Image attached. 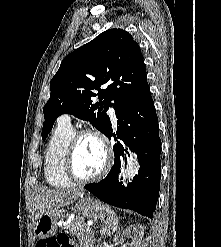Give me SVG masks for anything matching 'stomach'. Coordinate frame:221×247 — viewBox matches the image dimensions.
<instances>
[{"label": "stomach", "instance_id": "obj_1", "mask_svg": "<svg viewBox=\"0 0 221 247\" xmlns=\"http://www.w3.org/2000/svg\"><path fill=\"white\" fill-rule=\"evenodd\" d=\"M107 208L101 202L83 195L75 201V209L78 214L91 220L105 218ZM63 213V209H55L43 213L34 224L35 236L37 238H47L54 235L58 227V221L62 218Z\"/></svg>", "mask_w": 221, "mask_h": 247}]
</instances>
